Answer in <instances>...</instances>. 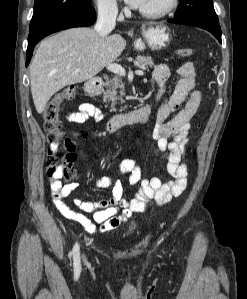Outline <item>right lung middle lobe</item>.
I'll return each instance as SVG.
<instances>
[{"label": "right lung middle lobe", "instance_id": "dd1d6c3e", "mask_svg": "<svg viewBox=\"0 0 247 299\" xmlns=\"http://www.w3.org/2000/svg\"><path fill=\"white\" fill-rule=\"evenodd\" d=\"M88 6L91 0H35L30 29L66 11Z\"/></svg>", "mask_w": 247, "mask_h": 299}]
</instances>
